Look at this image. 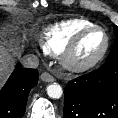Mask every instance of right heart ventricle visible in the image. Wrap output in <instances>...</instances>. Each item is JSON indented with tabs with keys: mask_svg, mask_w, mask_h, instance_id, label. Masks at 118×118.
Wrapping results in <instances>:
<instances>
[{
	"mask_svg": "<svg viewBox=\"0 0 118 118\" xmlns=\"http://www.w3.org/2000/svg\"><path fill=\"white\" fill-rule=\"evenodd\" d=\"M93 25H95L93 22L83 18L55 23L44 30L40 39V47L45 54L59 55L79 31Z\"/></svg>",
	"mask_w": 118,
	"mask_h": 118,
	"instance_id": "1",
	"label": "right heart ventricle"
}]
</instances>
